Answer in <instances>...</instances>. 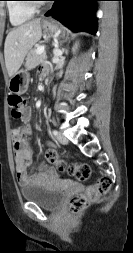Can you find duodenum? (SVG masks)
<instances>
[{"instance_id": "duodenum-1", "label": "duodenum", "mask_w": 133, "mask_h": 253, "mask_svg": "<svg viewBox=\"0 0 133 253\" xmlns=\"http://www.w3.org/2000/svg\"><path fill=\"white\" fill-rule=\"evenodd\" d=\"M44 78H46L47 77V74H44V76H43Z\"/></svg>"}]
</instances>
